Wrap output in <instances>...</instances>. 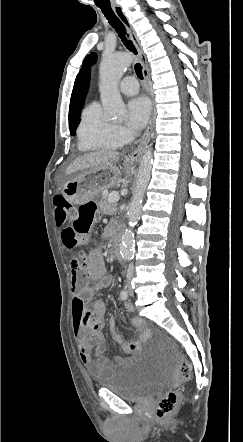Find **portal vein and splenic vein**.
I'll return each mask as SVG.
<instances>
[{"label": "portal vein and splenic vein", "mask_w": 243, "mask_h": 442, "mask_svg": "<svg viewBox=\"0 0 243 442\" xmlns=\"http://www.w3.org/2000/svg\"><path fill=\"white\" fill-rule=\"evenodd\" d=\"M120 199L119 193L114 192L109 195V202L116 203Z\"/></svg>", "instance_id": "portal-vein-and-splenic-vein-1"}]
</instances>
